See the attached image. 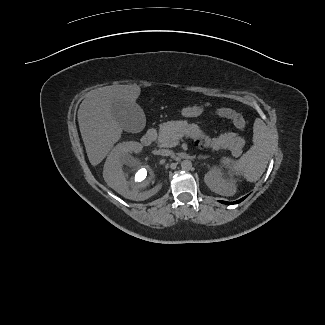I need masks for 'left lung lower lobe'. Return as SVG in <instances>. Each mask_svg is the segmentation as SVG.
<instances>
[{
  "mask_svg": "<svg viewBox=\"0 0 325 325\" xmlns=\"http://www.w3.org/2000/svg\"><path fill=\"white\" fill-rule=\"evenodd\" d=\"M246 197H247V196H245V197H243V198H241V199H239V200H237V201H234V202H226V201H220V202L223 203V204H229V205H231V204H238V203H240L241 201H243Z\"/></svg>",
  "mask_w": 325,
  "mask_h": 325,
  "instance_id": "obj_1",
  "label": "left lung lower lobe"
}]
</instances>
